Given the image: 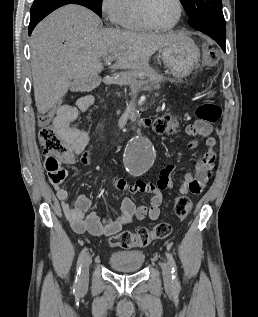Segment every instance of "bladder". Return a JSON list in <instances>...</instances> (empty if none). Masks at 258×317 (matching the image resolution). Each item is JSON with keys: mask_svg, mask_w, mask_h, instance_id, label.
<instances>
[{"mask_svg": "<svg viewBox=\"0 0 258 317\" xmlns=\"http://www.w3.org/2000/svg\"><path fill=\"white\" fill-rule=\"evenodd\" d=\"M112 268L119 271H138L143 267L145 255L140 250L112 252L108 258Z\"/></svg>", "mask_w": 258, "mask_h": 317, "instance_id": "bladder-1", "label": "bladder"}]
</instances>
